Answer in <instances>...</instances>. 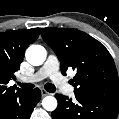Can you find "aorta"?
<instances>
[{
  "label": "aorta",
  "mask_w": 119,
  "mask_h": 119,
  "mask_svg": "<svg viewBox=\"0 0 119 119\" xmlns=\"http://www.w3.org/2000/svg\"><path fill=\"white\" fill-rule=\"evenodd\" d=\"M26 60L33 66H39L46 60L47 52L41 45H31L27 48ZM42 106L47 111H53L57 107V100L53 96H46L42 101Z\"/></svg>",
  "instance_id": "762f6f07"
}]
</instances>
